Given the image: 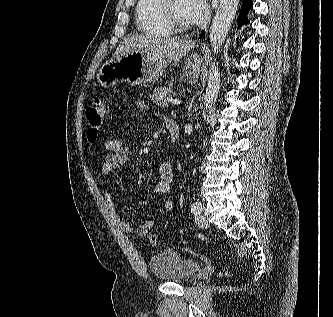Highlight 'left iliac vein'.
<instances>
[{"label": "left iliac vein", "mask_w": 333, "mask_h": 317, "mask_svg": "<svg viewBox=\"0 0 333 317\" xmlns=\"http://www.w3.org/2000/svg\"><path fill=\"white\" fill-rule=\"evenodd\" d=\"M195 222L200 228H207L209 225L207 219L201 214V212L196 214Z\"/></svg>", "instance_id": "4c4485c4"}]
</instances>
